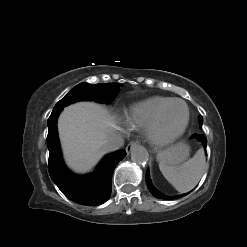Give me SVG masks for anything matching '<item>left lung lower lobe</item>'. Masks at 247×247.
Wrapping results in <instances>:
<instances>
[{"instance_id":"obj_1","label":"left lung lower lobe","mask_w":247,"mask_h":247,"mask_svg":"<svg viewBox=\"0 0 247 247\" xmlns=\"http://www.w3.org/2000/svg\"><path fill=\"white\" fill-rule=\"evenodd\" d=\"M195 137L198 138L199 140H201V142L203 143L204 148L206 150V146H207V139H206V137L204 135H197V134H195ZM146 182H147L148 189H149L150 193L154 197L159 198V199H166V200L176 199V198L182 197L184 195H187V194H189L191 192L190 191V192H188L186 194H182V195H179V196H172V197L163 195L158 190H156L155 187L152 185V182H151V179H150V176H149V170H147V173H146Z\"/></svg>"}]
</instances>
